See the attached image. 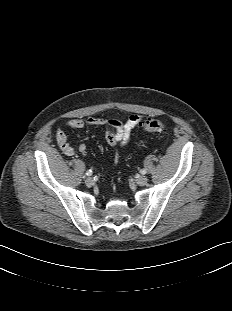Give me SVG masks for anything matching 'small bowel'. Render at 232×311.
Listing matches in <instances>:
<instances>
[{
    "instance_id": "1",
    "label": "small bowel",
    "mask_w": 232,
    "mask_h": 311,
    "mask_svg": "<svg viewBox=\"0 0 232 311\" xmlns=\"http://www.w3.org/2000/svg\"><path fill=\"white\" fill-rule=\"evenodd\" d=\"M142 121V117L137 114L129 115L124 121L116 119L104 118H74L67 122L70 129H80L84 126H103L106 128L105 138L110 146H124L129 142L133 129ZM56 139L59 148L69 156L75 154V149L68 142V135L63 130H57ZM78 150L85 153L87 147L85 144H80Z\"/></svg>"
}]
</instances>
